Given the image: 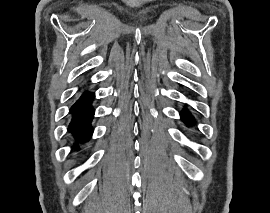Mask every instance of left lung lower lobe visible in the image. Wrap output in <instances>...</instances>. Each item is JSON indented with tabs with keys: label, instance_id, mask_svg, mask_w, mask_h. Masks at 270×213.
<instances>
[{
	"label": "left lung lower lobe",
	"instance_id": "left-lung-lower-lobe-1",
	"mask_svg": "<svg viewBox=\"0 0 270 213\" xmlns=\"http://www.w3.org/2000/svg\"><path fill=\"white\" fill-rule=\"evenodd\" d=\"M181 118L183 119V121L187 124H192L193 123V117L192 115L190 114V112L185 109L181 112Z\"/></svg>",
	"mask_w": 270,
	"mask_h": 213
}]
</instances>
